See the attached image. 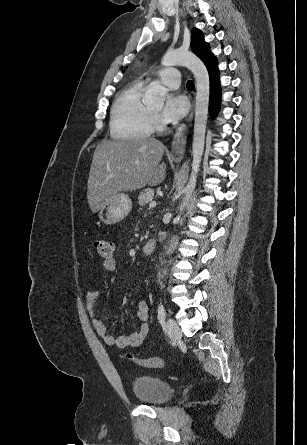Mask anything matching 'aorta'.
<instances>
[{
    "instance_id": "1",
    "label": "aorta",
    "mask_w": 307,
    "mask_h": 445,
    "mask_svg": "<svg viewBox=\"0 0 307 445\" xmlns=\"http://www.w3.org/2000/svg\"><path fill=\"white\" fill-rule=\"evenodd\" d=\"M161 64L163 66H187L193 72L196 78L197 92L195 96V122H194V136L192 144V168L189 176L188 184L185 186V196L181 202L175 223H179L182 218L183 210L187 206L191 198V194L197 182V174L204 150L206 124L208 118L209 94H210V80L208 70L203 64L202 60L195 56L190 50H182V48H168L164 56H162ZM167 88L161 86L158 80L150 82L142 102L147 106H163Z\"/></svg>"
}]
</instances>
